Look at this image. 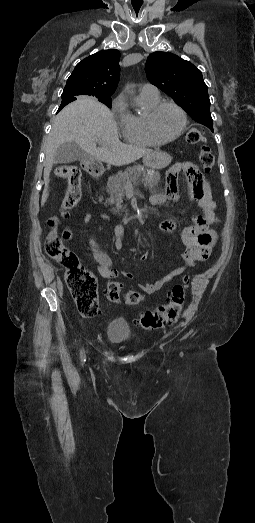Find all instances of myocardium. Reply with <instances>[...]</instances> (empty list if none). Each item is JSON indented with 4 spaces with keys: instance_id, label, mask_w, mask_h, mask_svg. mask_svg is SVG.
<instances>
[{
    "instance_id": "obj_1",
    "label": "myocardium",
    "mask_w": 255,
    "mask_h": 523,
    "mask_svg": "<svg viewBox=\"0 0 255 523\" xmlns=\"http://www.w3.org/2000/svg\"><path fill=\"white\" fill-rule=\"evenodd\" d=\"M165 106L174 107L179 112L181 119H182V124H181L179 131L170 138L159 137L156 134V132L154 130V126H153V120H154L155 115L162 107H165ZM186 125H187V116H186L185 111L178 104L171 102V101H159L157 104H155L153 107H151L148 110L146 117H145L146 130H147L148 134L150 135V137L157 143L165 144V143H170L172 141H175L184 133V131L186 129Z\"/></svg>"
}]
</instances>
